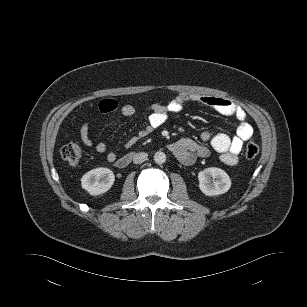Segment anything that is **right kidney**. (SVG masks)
Returning <instances> with one entry per match:
<instances>
[{"mask_svg":"<svg viewBox=\"0 0 307 307\" xmlns=\"http://www.w3.org/2000/svg\"><path fill=\"white\" fill-rule=\"evenodd\" d=\"M114 173L108 168H95L81 178L82 188L90 195H100L107 192L114 184Z\"/></svg>","mask_w":307,"mask_h":307,"instance_id":"obj_1","label":"right kidney"}]
</instances>
